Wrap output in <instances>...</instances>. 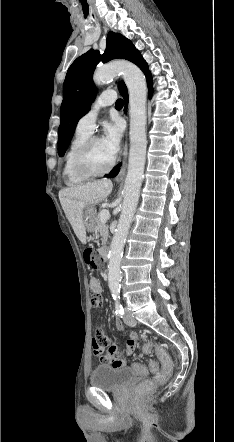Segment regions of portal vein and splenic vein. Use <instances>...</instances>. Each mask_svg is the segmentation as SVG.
<instances>
[{
    "mask_svg": "<svg viewBox=\"0 0 234 442\" xmlns=\"http://www.w3.org/2000/svg\"><path fill=\"white\" fill-rule=\"evenodd\" d=\"M109 217H110L109 210L104 209L100 212L101 222H106L109 219Z\"/></svg>",
    "mask_w": 234,
    "mask_h": 442,
    "instance_id": "1",
    "label": "portal vein and splenic vein"
}]
</instances>
